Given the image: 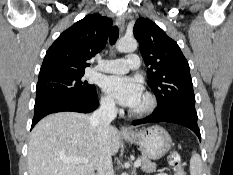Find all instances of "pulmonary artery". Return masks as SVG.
Listing matches in <instances>:
<instances>
[{
	"instance_id": "1",
	"label": "pulmonary artery",
	"mask_w": 233,
	"mask_h": 175,
	"mask_svg": "<svg viewBox=\"0 0 233 175\" xmlns=\"http://www.w3.org/2000/svg\"><path fill=\"white\" fill-rule=\"evenodd\" d=\"M140 66V58L137 54H129L126 59L103 60L97 69L106 73L122 74L129 70H135Z\"/></svg>"
}]
</instances>
